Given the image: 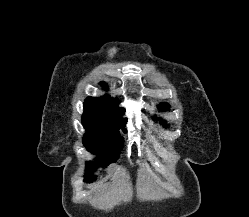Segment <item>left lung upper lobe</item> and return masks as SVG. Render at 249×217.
Instances as JSON below:
<instances>
[{
  "label": "left lung upper lobe",
  "mask_w": 249,
  "mask_h": 217,
  "mask_svg": "<svg viewBox=\"0 0 249 217\" xmlns=\"http://www.w3.org/2000/svg\"><path fill=\"white\" fill-rule=\"evenodd\" d=\"M159 109H161V110H163V111H166V110L169 109V106H168L167 103H161V104L159 105ZM160 123H161V124H164V122H160Z\"/></svg>",
  "instance_id": "1"
}]
</instances>
